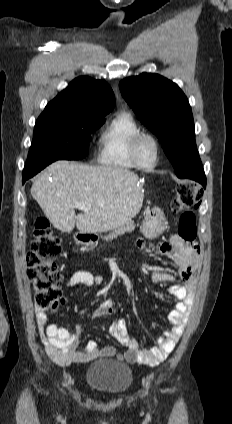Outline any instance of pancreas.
<instances>
[{
	"instance_id": "obj_1",
	"label": "pancreas",
	"mask_w": 232,
	"mask_h": 424,
	"mask_svg": "<svg viewBox=\"0 0 232 424\" xmlns=\"http://www.w3.org/2000/svg\"><path fill=\"white\" fill-rule=\"evenodd\" d=\"M134 229H135L134 222L132 220H129V221L125 222L124 224H122L121 226L114 229L113 232L111 234H109L106 238L107 239H114L118 235H122L125 232H131Z\"/></svg>"
}]
</instances>
